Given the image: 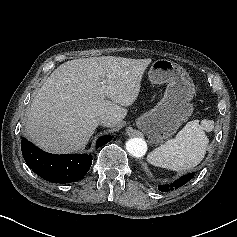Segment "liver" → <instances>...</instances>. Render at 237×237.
I'll return each mask as SVG.
<instances>
[{
  "label": "liver",
  "instance_id": "1",
  "mask_svg": "<svg viewBox=\"0 0 237 237\" xmlns=\"http://www.w3.org/2000/svg\"><path fill=\"white\" fill-rule=\"evenodd\" d=\"M151 59L101 56L70 60L57 67L34 97L27 112L25 135L41 149L70 153L83 149L110 116L114 127L138 97Z\"/></svg>",
  "mask_w": 237,
  "mask_h": 237
}]
</instances>
